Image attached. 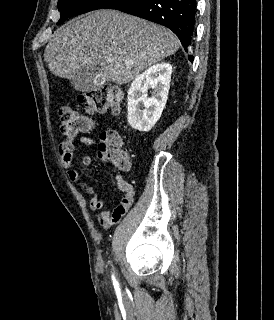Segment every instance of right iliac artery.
<instances>
[{
  "label": "right iliac artery",
  "mask_w": 274,
  "mask_h": 320,
  "mask_svg": "<svg viewBox=\"0 0 274 320\" xmlns=\"http://www.w3.org/2000/svg\"><path fill=\"white\" fill-rule=\"evenodd\" d=\"M112 278H113V280H115L113 275H112Z\"/></svg>",
  "instance_id": "obj_1"
}]
</instances>
